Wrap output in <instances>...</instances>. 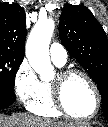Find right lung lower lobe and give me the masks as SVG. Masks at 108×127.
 I'll return each mask as SVG.
<instances>
[{"instance_id": "obj_1", "label": "right lung lower lobe", "mask_w": 108, "mask_h": 127, "mask_svg": "<svg viewBox=\"0 0 108 127\" xmlns=\"http://www.w3.org/2000/svg\"><path fill=\"white\" fill-rule=\"evenodd\" d=\"M16 97L14 93L2 91L0 89V109L6 108L15 101Z\"/></svg>"}]
</instances>
